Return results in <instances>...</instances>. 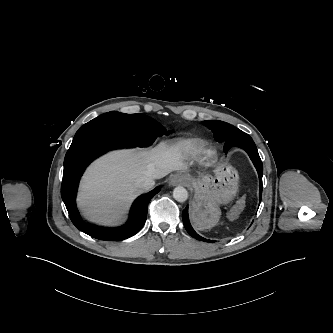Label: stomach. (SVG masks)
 I'll return each mask as SVG.
<instances>
[{
    "label": "stomach",
    "instance_id": "obj_1",
    "mask_svg": "<svg viewBox=\"0 0 333 333\" xmlns=\"http://www.w3.org/2000/svg\"><path fill=\"white\" fill-rule=\"evenodd\" d=\"M194 191L190 205V216L199 229L214 227L221 216L219 206L234 199L238 191L239 175L229 162H222L214 170V175L206 174L197 178L185 176Z\"/></svg>",
    "mask_w": 333,
    "mask_h": 333
}]
</instances>
